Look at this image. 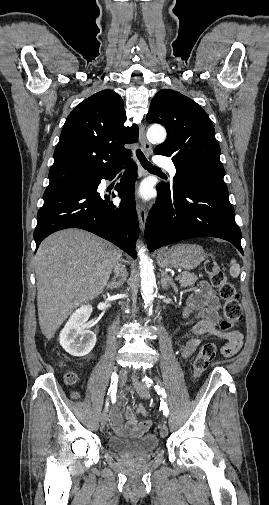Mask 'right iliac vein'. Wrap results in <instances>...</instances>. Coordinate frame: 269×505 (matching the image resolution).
<instances>
[{
	"label": "right iliac vein",
	"instance_id": "right-iliac-vein-1",
	"mask_svg": "<svg viewBox=\"0 0 269 505\" xmlns=\"http://www.w3.org/2000/svg\"><path fill=\"white\" fill-rule=\"evenodd\" d=\"M126 379H127V376H126V371L121 369L119 371V376H118V382H120V385L121 386H124L125 385V382H126ZM107 421H108V414L107 412L104 410L101 414V417H100V422H101V426L104 428L107 424Z\"/></svg>",
	"mask_w": 269,
	"mask_h": 505
}]
</instances>
